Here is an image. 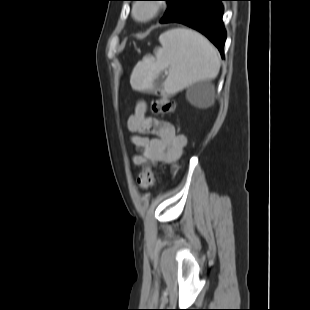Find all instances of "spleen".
Segmentation results:
<instances>
[{
	"mask_svg": "<svg viewBox=\"0 0 310 310\" xmlns=\"http://www.w3.org/2000/svg\"><path fill=\"white\" fill-rule=\"evenodd\" d=\"M161 47L154 56H147L133 69L130 83L137 91H155L160 86L167 95L217 77L220 57L216 48L200 33L186 28L164 32L159 38ZM166 73L159 84L156 80Z\"/></svg>",
	"mask_w": 310,
	"mask_h": 310,
	"instance_id": "3e777b00",
	"label": "spleen"
}]
</instances>
